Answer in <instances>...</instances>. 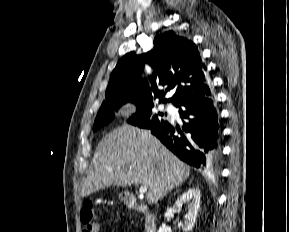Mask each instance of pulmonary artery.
I'll list each match as a JSON object with an SVG mask.
<instances>
[{"instance_id":"e3ab8cb5","label":"pulmonary artery","mask_w":289,"mask_h":232,"mask_svg":"<svg viewBox=\"0 0 289 232\" xmlns=\"http://www.w3.org/2000/svg\"><path fill=\"white\" fill-rule=\"evenodd\" d=\"M167 109H168L169 111H173V110H174V108L172 107V105H167Z\"/></svg>"}]
</instances>
